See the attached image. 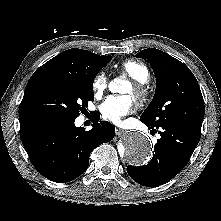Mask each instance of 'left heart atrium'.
<instances>
[{"label":"left heart atrium","mask_w":221,"mask_h":221,"mask_svg":"<svg viewBox=\"0 0 221 221\" xmlns=\"http://www.w3.org/2000/svg\"><path fill=\"white\" fill-rule=\"evenodd\" d=\"M133 110V102L129 96H109L100 106L102 117L114 124H121L122 118Z\"/></svg>","instance_id":"39dd6f15"}]
</instances>
